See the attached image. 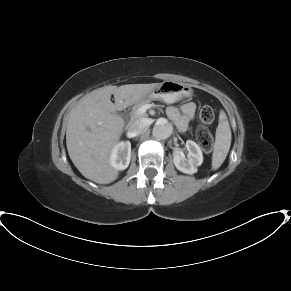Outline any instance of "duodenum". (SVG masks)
<instances>
[{
  "label": "duodenum",
  "instance_id": "410a0bca",
  "mask_svg": "<svg viewBox=\"0 0 291 291\" xmlns=\"http://www.w3.org/2000/svg\"><path fill=\"white\" fill-rule=\"evenodd\" d=\"M120 116V111H117L116 112V117H119Z\"/></svg>",
  "mask_w": 291,
  "mask_h": 291
}]
</instances>
